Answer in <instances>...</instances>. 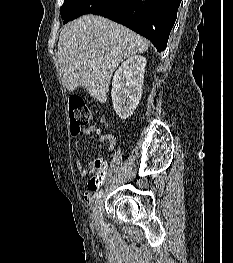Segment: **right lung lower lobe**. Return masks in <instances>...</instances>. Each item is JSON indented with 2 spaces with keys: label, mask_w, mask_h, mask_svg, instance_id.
<instances>
[{
  "label": "right lung lower lobe",
  "mask_w": 233,
  "mask_h": 263,
  "mask_svg": "<svg viewBox=\"0 0 233 263\" xmlns=\"http://www.w3.org/2000/svg\"><path fill=\"white\" fill-rule=\"evenodd\" d=\"M181 0H122L114 10L97 13L149 39L157 51L166 48Z\"/></svg>",
  "instance_id": "right-lung-lower-lobe-1"
}]
</instances>
